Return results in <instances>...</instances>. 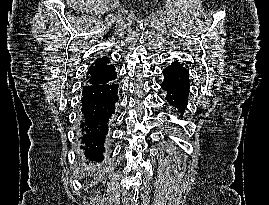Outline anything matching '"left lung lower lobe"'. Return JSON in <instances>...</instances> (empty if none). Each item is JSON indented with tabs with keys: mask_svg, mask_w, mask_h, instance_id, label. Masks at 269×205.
Segmentation results:
<instances>
[{
	"mask_svg": "<svg viewBox=\"0 0 269 205\" xmlns=\"http://www.w3.org/2000/svg\"><path fill=\"white\" fill-rule=\"evenodd\" d=\"M164 81L161 88L167 92V102L181 110V116L187 106L189 93V72L175 61L163 70Z\"/></svg>",
	"mask_w": 269,
	"mask_h": 205,
	"instance_id": "left-lung-lower-lobe-1",
	"label": "left lung lower lobe"
}]
</instances>
